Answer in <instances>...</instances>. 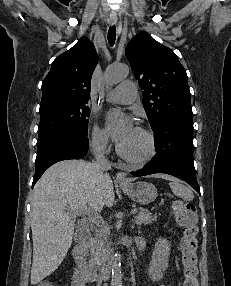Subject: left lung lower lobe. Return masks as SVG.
<instances>
[{"label":"left lung lower lobe","mask_w":231,"mask_h":286,"mask_svg":"<svg viewBox=\"0 0 231 286\" xmlns=\"http://www.w3.org/2000/svg\"><path fill=\"white\" fill-rule=\"evenodd\" d=\"M153 131L157 153L132 175L170 174L184 180L200 194L193 163L192 118L170 117Z\"/></svg>","instance_id":"0a47b994"}]
</instances>
